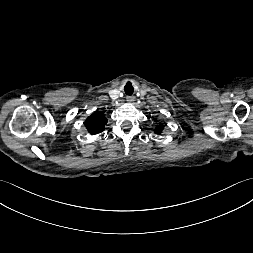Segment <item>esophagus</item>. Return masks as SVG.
Instances as JSON below:
<instances>
[{
    "mask_svg": "<svg viewBox=\"0 0 253 253\" xmlns=\"http://www.w3.org/2000/svg\"><path fill=\"white\" fill-rule=\"evenodd\" d=\"M126 100H127V102L131 103L135 100V97L134 96H127Z\"/></svg>",
    "mask_w": 253,
    "mask_h": 253,
    "instance_id": "34e87169",
    "label": "esophagus"
}]
</instances>
